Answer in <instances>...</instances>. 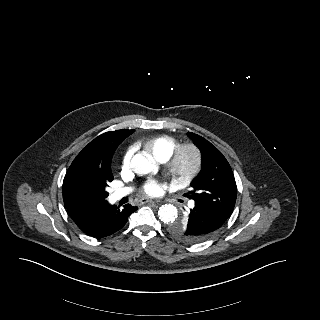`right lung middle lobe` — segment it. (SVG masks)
Wrapping results in <instances>:
<instances>
[{"label":"right lung middle lobe","mask_w":320,"mask_h":320,"mask_svg":"<svg viewBox=\"0 0 320 320\" xmlns=\"http://www.w3.org/2000/svg\"><path fill=\"white\" fill-rule=\"evenodd\" d=\"M112 180V174L101 171L67 173L63 181L64 203L71 206L103 203L109 195L106 188Z\"/></svg>","instance_id":"right-lung-middle-lobe-1"}]
</instances>
